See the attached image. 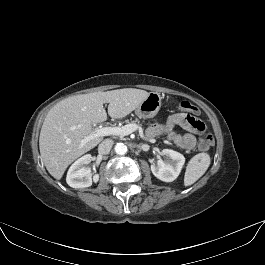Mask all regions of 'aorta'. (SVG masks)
<instances>
[{
  "label": "aorta",
  "mask_w": 265,
  "mask_h": 265,
  "mask_svg": "<svg viewBox=\"0 0 265 265\" xmlns=\"http://www.w3.org/2000/svg\"><path fill=\"white\" fill-rule=\"evenodd\" d=\"M115 152L118 155H125L127 153V146L123 143H117L115 146Z\"/></svg>",
  "instance_id": "aorta-1"
}]
</instances>
